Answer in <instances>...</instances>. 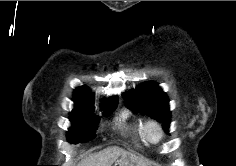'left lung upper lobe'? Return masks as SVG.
I'll list each match as a JSON object with an SVG mask.
<instances>
[{
  "mask_svg": "<svg viewBox=\"0 0 236 166\" xmlns=\"http://www.w3.org/2000/svg\"><path fill=\"white\" fill-rule=\"evenodd\" d=\"M128 106L134 111H142L162 123L168 132L171 114L167 95L155 82H145L135 90L122 94Z\"/></svg>",
  "mask_w": 236,
  "mask_h": 166,
  "instance_id": "left-lung-upper-lobe-1",
  "label": "left lung upper lobe"
}]
</instances>
